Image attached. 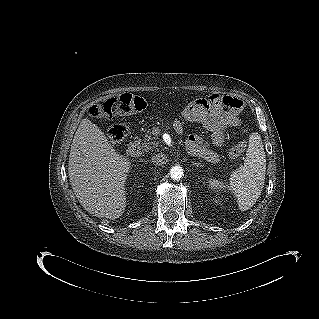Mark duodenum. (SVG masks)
<instances>
[{
    "instance_id": "1",
    "label": "duodenum",
    "mask_w": 319,
    "mask_h": 319,
    "mask_svg": "<svg viewBox=\"0 0 319 319\" xmlns=\"http://www.w3.org/2000/svg\"><path fill=\"white\" fill-rule=\"evenodd\" d=\"M141 153V146L138 142H132L127 148V154L131 157H138Z\"/></svg>"
}]
</instances>
